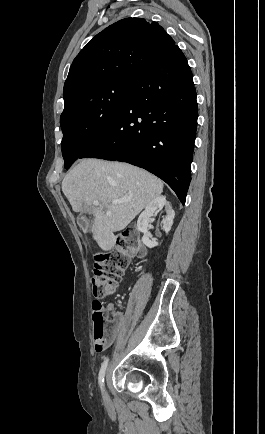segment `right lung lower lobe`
<instances>
[{"instance_id": "obj_1", "label": "right lung lower lobe", "mask_w": 265, "mask_h": 434, "mask_svg": "<svg viewBox=\"0 0 265 434\" xmlns=\"http://www.w3.org/2000/svg\"><path fill=\"white\" fill-rule=\"evenodd\" d=\"M193 75L177 45L136 76L109 129L79 158L123 161L164 180L184 205L197 130Z\"/></svg>"}]
</instances>
